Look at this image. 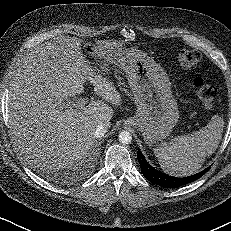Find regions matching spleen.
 <instances>
[{"instance_id":"3e777b00","label":"spleen","mask_w":231,"mask_h":231,"mask_svg":"<svg viewBox=\"0 0 231 231\" xmlns=\"http://www.w3.org/2000/svg\"><path fill=\"white\" fill-rule=\"evenodd\" d=\"M224 119L214 115L209 123L198 131L181 135L171 140L168 145L154 149L162 170L175 177L196 174L206 156L215 152L222 138Z\"/></svg>"}]
</instances>
